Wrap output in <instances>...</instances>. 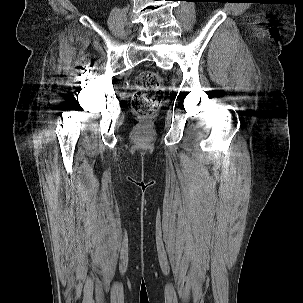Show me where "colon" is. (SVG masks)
Instances as JSON below:
<instances>
[{
	"instance_id": "1",
	"label": "colon",
	"mask_w": 303,
	"mask_h": 303,
	"mask_svg": "<svg viewBox=\"0 0 303 303\" xmlns=\"http://www.w3.org/2000/svg\"><path fill=\"white\" fill-rule=\"evenodd\" d=\"M134 102L143 116L151 115L166 98L162 78L155 72L144 71L136 78Z\"/></svg>"
}]
</instances>
